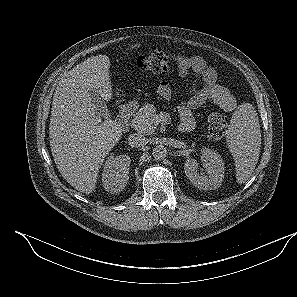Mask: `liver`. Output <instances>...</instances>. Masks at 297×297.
Returning <instances> with one entry per match:
<instances>
[{"instance_id":"1","label":"liver","mask_w":297,"mask_h":297,"mask_svg":"<svg viewBox=\"0 0 297 297\" xmlns=\"http://www.w3.org/2000/svg\"><path fill=\"white\" fill-rule=\"evenodd\" d=\"M140 44L132 45L138 48ZM110 59L97 55L81 62L60 80L52 102L49 139L58 171L75 189L90 194L104 158L118 143L122 129L102 122L88 91L112 98Z\"/></svg>"}]
</instances>
